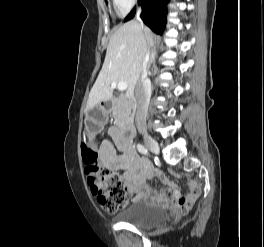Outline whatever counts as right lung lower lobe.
<instances>
[{
    "mask_svg": "<svg viewBox=\"0 0 264 247\" xmlns=\"http://www.w3.org/2000/svg\"><path fill=\"white\" fill-rule=\"evenodd\" d=\"M168 0H138V4L142 6L141 18L143 22L157 34H162L166 25ZM134 8L124 21L131 20L135 15Z\"/></svg>",
    "mask_w": 264,
    "mask_h": 247,
    "instance_id": "1",
    "label": "right lung lower lobe"
}]
</instances>
